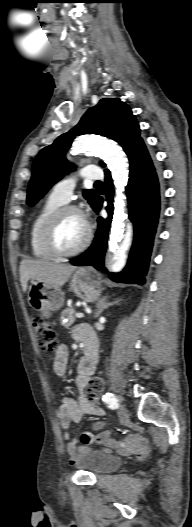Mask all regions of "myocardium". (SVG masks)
<instances>
[{"label":"myocardium","mask_w":192,"mask_h":527,"mask_svg":"<svg viewBox=\"0 0 192 527\" xmlns=\"http://www.w3.org/2000/svg\"><path fill=\"white\" fill-rule=\"evenodd\" d=\"M67 213H76L84 219L85 224H86V233H85L83 240L77 247L71 250H62L58 248V246L56 245L55 232H56V228H57L59 221ZM92 236H93V230H92L91 224L89 223L83 211L74 205H63L59 207L58 209H56L46 221L43 231H42V243L46 251L52 257L67 258V257L75 256L81 253L82 251H84L90 244L92 240Z\"/></svg>","instance_id":"obj_1"}]
</instances>
